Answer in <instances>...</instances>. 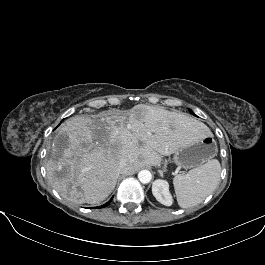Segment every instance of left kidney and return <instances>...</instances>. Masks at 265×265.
Here are the masks:
<instances>
[{"mask_svg":"<svg viewBox=\"0 0 265 265\" xmlns=\"http://www.w3.org/2000/svg\"><path fill=\"white\" fill-rule=\"evenodd\" d=\"M152 193L161 204L165 206L172 205L173 199L169 191V184L166 180H155L152 185Z\"/></svg>","mask_w":265,"mask_h":265,"instance_id":"obj_1","label":"left kidney"}]
</instances>
